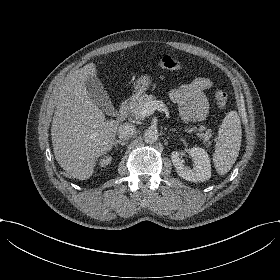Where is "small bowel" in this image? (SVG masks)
Returning <instances> with one entry per match:
<instances>
[{
	"instance_id": "small-bowel-1",
	"label": "small bowel",
	"mask_w": 280,
	"mask_h": 280,
	"mask_svg": "<svg viewBox=\"0 0 280 280\" xmlns=\"http://www.w3.org/2000/svg\"><path fill=\"white\" fill-rule=\"evenodd\" d=\"M212 87L213 81L210 78L198 77L170 90L169 96L178 105L183 121L200 122L206 119L208 100L203 91Z\"/></svg>"
}]
</instances>
